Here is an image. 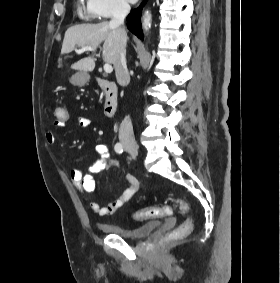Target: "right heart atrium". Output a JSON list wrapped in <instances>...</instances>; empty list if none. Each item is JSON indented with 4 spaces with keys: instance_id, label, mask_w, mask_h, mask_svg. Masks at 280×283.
I'll return each instance as SVG.
<instances>
[{
    "instance_id": "obj_1",
    "label": "right heart atrium",
    "mask_w": 280,
    "mask_h": 283,
    "mask_svg": "<svg viewBox=\"0 0 280 283\" xmlns=\"http://www.w3.org/2000/svg\"><path fill=\"white\" fill-rule=\"evenodd\" d=\"M129 9L127 0H86L87 14L99 20L126 15Z\"/></svg>"
}]
</instances>
